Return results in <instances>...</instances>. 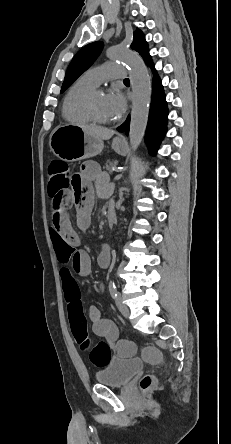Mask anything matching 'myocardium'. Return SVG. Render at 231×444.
<instances>
[{"instance_id":"obj_1","label":"myocardium","mask_w":231,"mask_h":444,"mask_svg":"<svg viewBox=\"0 0 231 444\" xmlns=\"http://www.w3.org/2000/svg\"><path fill=\"white\" fill-rule=\"evenodd\" d=\"M98 93H104L103 90L101 89H94L87 97L86 99V103H85V109L86 112L88 114V116L90 117V119L92 120V122L97 123V124H110L113 123L115 120L111 119V120H107V119H103L101 117H99L95 111L94 108V98L96 96V94Z\"/></svg>"}]
</instances>
